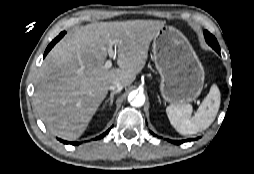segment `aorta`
Returning <instances> with one entry per match:
<instances>
[{"mask_svg": "<svg viewBox=\"0 0 254 174\" xmlns=\"http://www.w3.org/2000/svg\"><path fill=\"white\" fill-rule=\"evenodd\" d=\"M128 100L133 107H141L145 103V95L141 92L133 91L129 94Z\"/></svg>", "mask_w": 254, "mask_h": 174, "instance_id": "1", "label": "aorta"}]
</instances>
